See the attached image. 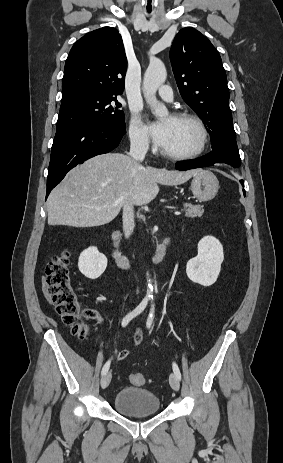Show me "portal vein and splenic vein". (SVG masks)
I'll return each instance as SVG.
<instances>
[{
    "label": "portal vein and splenic vein",
    "instance_id": "1",
    "mask_svg": "<svg viewBox=\"0 0 283 463\" xmlns=\"http://www.w3.org/2000/svg\"><path fill=\"white\" fill-rule=\"evenodd\" d=\"M174 214H175V215H179V214H180V212H175Z\"/></svg>",
    "mask_w": 283,
    "mask_h": 463
}]
</instances>
